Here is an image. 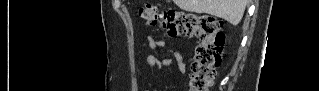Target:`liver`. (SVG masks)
Wrapping results in <instances>:
<instances>
[{
  "label": "liver",
  "instance_id": "1",
  "mask_svg": "<svg viewBox=\"0 0 319 91\" xmlns=\"http://www.w3.org/2000/svg\"><path fill=\"white\" fill-rule=\"evenodd\" d=\"M182 10L206 13L237 25L243 18L249 0H174Z\"/></svg>",
  "mask_w": 319,
  "mask_h": 91
}]
</instances>
